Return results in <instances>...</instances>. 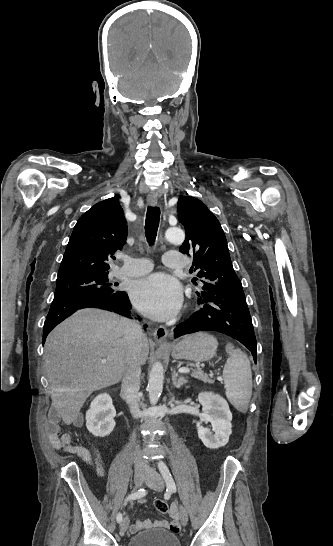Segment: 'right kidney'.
<instances>
[{
  "label": "right kidney",
  "instance_id": "obj_1",
  "mask_svg": "<svg viewBox=\"0 0 333 546\" xmlns=\"http://www.w3.org/2000/svg\"><path fill=\"white\" fill-rule=\"evenodd\" d=\"M115 415L116 410L110 395L107 393L99 394L91 402L90 409L86 412L87 429L96 437H105L115 427Z\"/></svg>",
  "mask_w": 333,
  "mask_h": 546
}]
</instances>
